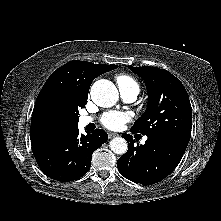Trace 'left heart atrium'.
<instances>
[{
    "label": "left heart atrium",
    "instance_id": "39dd6f15",
    "mask_svg": "<svg viewBox=\"0 0 221 221\" xmlns=\"http://www.w3.org/2000/svg\"><path fill=\"white\" fill-rule=\"evenodd\" d=\"M129 113L121 111H109L102 115L101 123L104 127L110 130H119L125 123L130 121Z\"/></svg>",
    "mask_w": 221,
    "mask_h": 221
}]
</instances>
